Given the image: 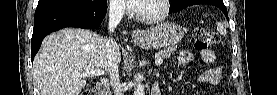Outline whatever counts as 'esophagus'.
Instances as JSON below:
<instances>
[{"label":"esophagus","instance_id":"34e87169","mask_svg":"<svg viewBox=\"0 0 277 95\" xmlns=\"http://www.w3.org/2000/svg\"><path fill=\"white\" fill-rule=\"evenodd\" d=\"M132 37L134 39H141L144 37V32L141 30V29H135L133 32H132Z\"/></svg>","mask_w":277,"mask_h":95}]
</instances>
